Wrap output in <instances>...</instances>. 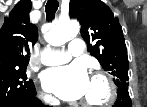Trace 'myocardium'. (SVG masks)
<instances>
[{
	"label": "myocardium",
	"mask_w": 147,
	"mask_h": 107,
	"mask_svg": "<svg viewBox=\"0 0 147 107\" xmlns=\"http://www.w3.org/2000/svg\"><path fill=\"white\" fill-rule=\"evenodd\" d=\"M91 80H98L102 82L105 87V95L101 100H83L81 104L86 107H104L112 104L117 95V89L114 81L107 74L102 72L93 74Z\"/></svg>",
	"instance_id": "1"
}]
</instances>
